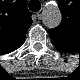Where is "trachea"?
Returning <instances> with one entry per match:
<instances>
[{
	"instance_id": "1",
	"label": "trachea",
	"mask_w": 80,
	"mask_h": 80,
	"mask_svg": "<svg viewBox=\"0 0 80 80\" xmlns=\"http://www.w3.org/2000/svg\"><path fill=\"white\" fill-rule=\"evenodd\" d=\"M29 9L33 12H37L41 9V3L38 0H30Z\"/></svg>"
}]
</instances>
